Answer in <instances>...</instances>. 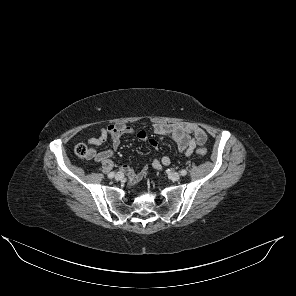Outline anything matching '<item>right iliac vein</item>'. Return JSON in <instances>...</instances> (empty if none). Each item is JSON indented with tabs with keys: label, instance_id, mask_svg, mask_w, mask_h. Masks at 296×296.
<instances>
[{
	"label": "right iliac vein",
	"instance_id": "63e3f726",
	"mask_svg": "<svg viewBox=\"0 0 296 296\" xmlns=\"http://www.w3.org/2000/svg\"><path fill=\"white\" fill-rule=\"evenodd\" d=\"M123 177H124L123 173L119 172V173L116 174L115 179L116 180H121V179H123Z\"/></svg>",
	"mask_w": 296,
	"mask_h": 296
}]
</instances>
